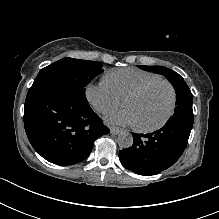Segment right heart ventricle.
<instances>
[{
  "label": "right heart ventricle",
  "instance_id": "e07e8e85",
  "mask_svg": "<svg viewBox=\"0 0 219 219\" xmlns=\"http://www.w3.org/2000/svg\"><path fill=\"white\" fill-rule=\"evenodd\" d=\"M161 76L152 72L128 67L110 71L104 80L109 85L113 94L123 100L131 91L151 80L160 79Z\"/></svg>",
  "mask_w": 219,
  "mask_h": 219
}]
</instances>
